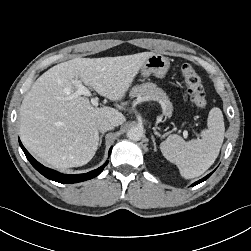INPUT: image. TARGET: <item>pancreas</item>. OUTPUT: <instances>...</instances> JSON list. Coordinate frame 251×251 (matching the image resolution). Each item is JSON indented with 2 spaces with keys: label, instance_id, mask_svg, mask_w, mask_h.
<instances>
[{
  "label": "pancreas",
  "instance_id": "1",
  "mask_svg": "<svg viewBox=\"0 0 251 251\" xmlns=\"http://www.w3.org/2000/svg\"><path fill=\"white\" fill-rule=\"evenodd\" d=\"M130 97L142 98L144 100L160 101L163 106V112L166 116L172 115L173 107L166 93L154 83H143L134 86L130 91Z\"/></svg>",
  "mask_w": 251,
  "mask_h": 251
}]
</instances>
